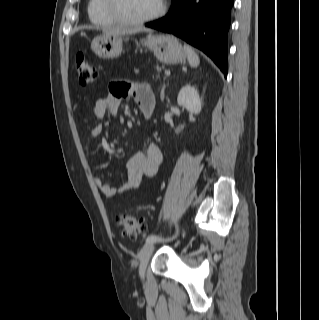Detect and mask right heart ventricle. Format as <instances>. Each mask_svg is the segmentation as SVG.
<instances>
[{
    "label": "right heart ventricle",
    "instance_id": "1",
    "mask_svg": "<svg viewBox=\"0 0 319 320\" xmlns=\"http://www.w3.org/2000/svg\"><path fill=\"white\" fill-rule=\"evenodd\" d=\"M88 15L90 20L100 27L114 26L118 24L106 13L104 0H89Z\"/></svg>",
    "mask_w": 319,
    "mask_h": 320
}]
</instances>
